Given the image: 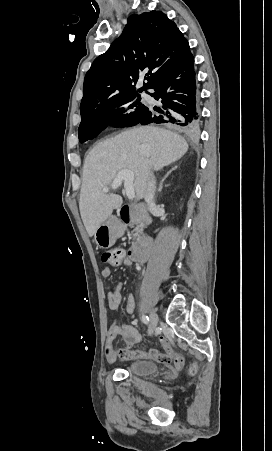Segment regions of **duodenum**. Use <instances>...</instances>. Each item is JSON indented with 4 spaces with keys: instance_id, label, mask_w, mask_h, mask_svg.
<instances>
[{
    "instance_id": "410a0bca",
    "label": "duodenum",
    "mask_w": 272,
    "mask_h": 451,
    "mask_svg": "<svg viewBox=\"0 0 272 451\" xmlns=\"http://www.w3.org/2000/svg\"><path fill=\"white\" fill-rule=\"evenodd\" d=\"M145 219V208L143 205H124L120 209V220L125 224H134ZM153 245L151 237H144L133 245L128 252L132 261L140 262L147 259Z\"/></svg>"
}]
</instances>
